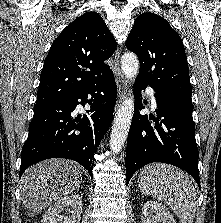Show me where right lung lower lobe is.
Wrapping results in <instances>:
<instances>
[{"label":"right lung lower lobe","instance_id":"obj_1","mask_svg":"<svg viewBox=\"0 0 221 223\" xmlns=\"http://www.w3.org/2000/svg\"><path fill=\"white\" fill-rule=\"evenodd\" d=\"M89 94L91 100L87 99ZM116 96L115 78L110 70L67 97L35 107L21 153L20 176L29 166L49 158L74 160L92 176L93 155L111 124ZM85 103L91 109L87 114L76 115V106Z\"/></svg>","mask_w":221,"mask_h":223}]
</instances>
